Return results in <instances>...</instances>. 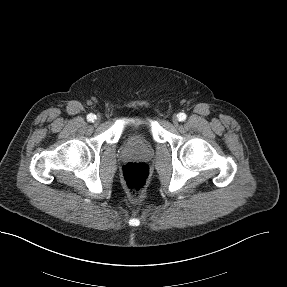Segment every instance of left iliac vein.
<instances>
[{"mask_svg": "<svg viewBox=\"0 0 287 287\" xmlns=\"http://www.w3.org/2000/svg\"><path fill=\"white\" fill-rule=\"evenodd\" d=\"M172 123H173V125H174L175 127L178 126L179 120H178V117H177L176 115H174V116L172 117Z\"/></svg>", "mask_w": 287, "mask_h": 287, "instance_id": "obj_1", "label": "left iliac vein"}]
</instances>
